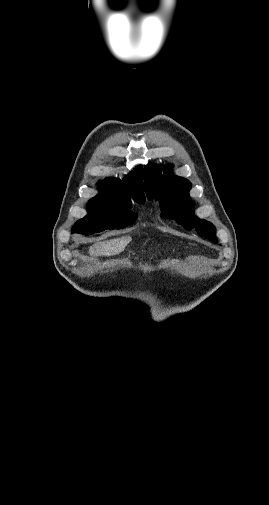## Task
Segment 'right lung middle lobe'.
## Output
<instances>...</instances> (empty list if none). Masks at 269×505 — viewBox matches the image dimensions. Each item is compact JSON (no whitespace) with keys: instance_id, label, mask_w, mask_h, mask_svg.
I'll use <instances>...</instances> for the list:
<instances>
[{"instance_id":"right-lung-middle-lobe-1","label":"right lung middle lobe","mask_w":269,"mask_h":505,"mask_svg":"<svg viewBox=\"0 0 269 505\" xmlns=\"http://www.w3.org/2000/svg\"><path fill=\"white\" fill-rule=\"evenodd\" d=\"M143 203L144 201L136 200ZM130 201H102L88 202V215L76 222L73 233L89 235L106 229H122L136 220V215L130 210Z\"/></svg>"}]
</instances>
